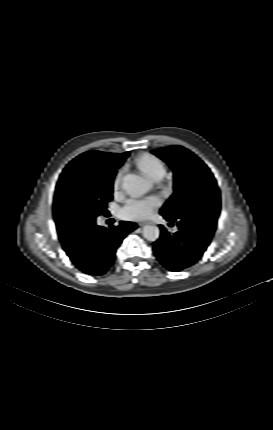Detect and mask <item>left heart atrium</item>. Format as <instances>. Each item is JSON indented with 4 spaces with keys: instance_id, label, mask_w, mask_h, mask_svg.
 Returning <instances> with one entry per match:
<instances>
[{
    "instance_id": "39dd6f15",
    "label": "left heart atrium",
    "mask_w": 273,
    "mask_h": 430,
    "mask_svg": "<svg viewBox=\"0 0 273 430\" xmlns=\"http://www.w3.org/2000/svg\"><path fill=\"white\" fill-rule=\"evenodd\" d=\"M160 205V200L155 196L146 198H130L120 210V215L128 220H144L149 218Z\"/></svg>"
}]
</instances>
